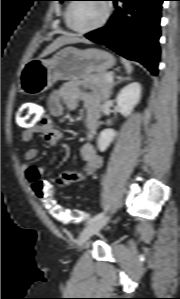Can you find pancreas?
<instances>
[{
	"instance_id": "pancreas-1",
	"label": "pancreas",
	"mask_w": 180,
	"mask_h": 299,
	"mask_svg": "<svg viewBox=\"0 0 180 299\" xmlns=\"http://www.w3.org/2000/svg\"><path fill=\"white\" fill-rule=\"evenodd\" d=\"M109 74L111 73L90 74L84 78V81L92 90L98 92L102 99H106L113 87V83L107 80Z\"/></svg>"
}]
</instances>
